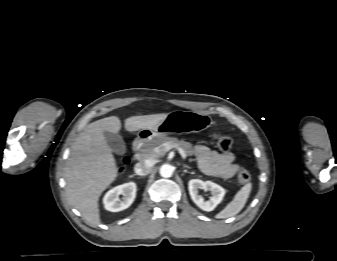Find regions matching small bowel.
<instances>
[{"mask_svg": "<svg viewBox=\"0 0 337 261\" xmlns=\"http://www.w3.org/2000/svg\"><path fill=\"white\" fill-rule=\"evenodd\" d=\"M194 151L200 169L207 175L231 178L239 170L232 152H218L205 145H197Z\"/></svg>", "mask_w": 337, "mask_h": 261, "instance_id": "c3829d8e", "label": "small bowel"}]
</instances>
